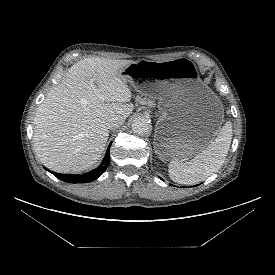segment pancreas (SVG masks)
<instances>
[{
  "label": "pancreas",
  "mask_w": 275,
  "mask_h": 275,
  "mask_svg": "<svg viewBox=\"0 0 275 275\" xmlns=\"http://www.w3.org/2000/svg\"><path fill=\"white\" fill-rule=\"evenodd\" d=\"M137 101L142 103V104H146L150 107H153L154 106V101L150 100V99H147V98H140V97H137Z\"/></svg>",
  "instance_id": "1"
}]
</instances>
